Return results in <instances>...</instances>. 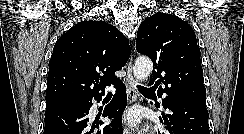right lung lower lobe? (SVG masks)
<instances>
[{
	"mask_svg": "<svg viewBox=\"0 0 244 134\" xmlns=\"http://www.w3.org/2000/svg\"><path fill=\"white\" fill-rule=\"evenodd\" d=\"M112 101L106 106L103 116L113 121L101 130L94 131L103 123L94 121L90 124L88 117L92 99L101 100V96L80 99L75 102L45 112V128L43 134H122V113L127 104L125 85L119 81Z\"/></svg>",
	"mask_w": 244,
	"mask_h": 134,
	"instance_id": "1",
	"label": "right lung lower lobe"
}]
</instances>
